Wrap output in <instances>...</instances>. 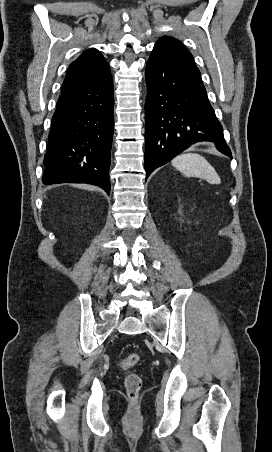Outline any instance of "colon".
<instances>
[{
    "label": "colon",
    "instance_id": "colon-1",
    "mask_svg": "<svg viewBox=\"0 0 272 452\" xmlns=\"http://www.w3.org/2000/svg\"><path fill=\"white\" fill-rule=\"evenodd\" d=\"M139 355L137 353H130L121 359V367L125 371L135 366L139 362ZM142 387V378L134 372H128L125 378V389L128 397L132 400L138 398V394Z\"/></svg>",
    "mask_w": 272,
    "mask_h": 452
}]
</instances>
